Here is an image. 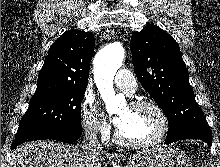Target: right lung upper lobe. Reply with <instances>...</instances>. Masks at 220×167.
Wrapping results in <instances>:
<instances>
[{
    "label": "right lung upper lobe",
    "mask_w": 220,
    "mask_h": 167,
    "mask_svg": "<svg viewBox=\"0 0 220 167\" xmlns=\"http://www.w3.org/2000/svg\"><path fill=\"white\" fill-rule=\"evenodd\" d=\"M93 52V33L66 31L50 47L32 99L68 87H86Z\"/></svg>",
    "instance_id": "cb5924a9"
}]
</instances>
